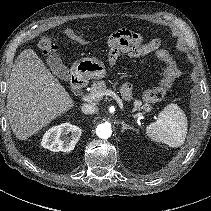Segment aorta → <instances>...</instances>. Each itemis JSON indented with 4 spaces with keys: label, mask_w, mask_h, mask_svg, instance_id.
Returning a JSON list of instances; mask_svg holds the SVG:
<instances>
[{
    "label": "aorta",
    "mask_w": 211,
    "mask_h": 211,
    "mask_svg": "<svg viewBox=\"0 0 211 211\" xmlns=\"http://www.w3.org/2000/svg\"><path fill=\"white\" fill-rule=\"evenodd\" d=\"M96 134L99 138L107 139L112 134V129L109 125L103 123L99 124L96 128Z\"/></svg>",
    "instance_id": "aorta-1"
}]
</instances>
